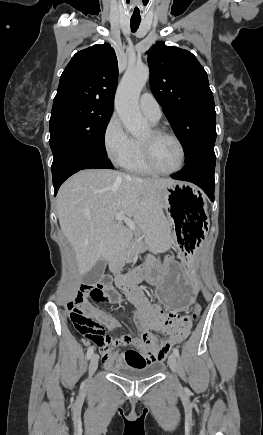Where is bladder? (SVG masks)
I'll return each instance as SVG.
<instances>
[{
  "label": "bladder",
  "mask_w": 263,
  "mask_h": 435,
  "mask_svg": "<svg viewBox=\"0 0 263 435\" xmlns=\"http://www.w3.org/2000/svg\"><path fill=\"white\" fill-rule=\"evenodd\" d=\"M162 368L161 362H152L144 366L120 365L113 367L112 372L125 379L141 380L156 376Z\"/></svg>",
  "instance_id": "1"
}]
</instances>
